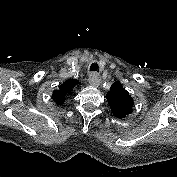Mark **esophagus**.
<instances>
[{"label":"esophagus","mask_w":177,"mask_h":177,"mask_svg":"<svg viewBox=\"0 0 177 177\" xmlns=\"http://www.w3.org/2000/svg\"><path fill=\"white\" fill-rule=\"evenodd\" d=\"M88 80L89 83L94 87H98L101 81L99 74L96 72L90 73Z\"/></svg>","instance_id":"obj_1"}]
</instances>
